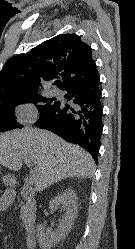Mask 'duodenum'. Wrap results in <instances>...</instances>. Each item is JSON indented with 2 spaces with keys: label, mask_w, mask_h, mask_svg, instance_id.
Segmentation results:
<instances>
[{
  "label": "duodenum",
  "mask_w": 135,
  "mask_h": 249,
  "mask_svg": "<svg viewBox=\"0 0 135 249\" xmlns=\"http://www.w3.org/2000/svg\"><path fill=\"white\" fill-rule=\"evenodd\" d=\"M20 195L22 198H24L29 204L33 203V199H34V193L32 191V189H30L29 187H23L20 190ZM33 218L34 216H31V219L28 221L27 223V229L29 231H31L34 227V222H33ZM28 242L30 246H33L35 241L34 238L32 236V234L29 235L28 237Z\"/></svg>",
  "instance_id": "duodenum-1"
}]
</instances>
